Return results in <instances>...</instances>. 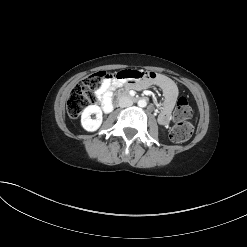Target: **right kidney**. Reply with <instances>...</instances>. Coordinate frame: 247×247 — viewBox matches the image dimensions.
Returning <instances> with one entry per match:
<instances>
[{
	"instance_id": "ca27d5eb",
	"label": "right kidney",
	"mask_w": 247,
	"mask_h": 247,
	"mask_svg": "<svg viewBox=\"0 0 247 247\" xmlns=\"http://www.w3.org/2000/svg\"><path fill=\"white\" fill-rule=\"evenodd\" d=\"M91 114H96V119H92ZM102 120V110L97 105L87 106L81 115V125L89 132L96 131L101 126Z\"/></svg>"
}]
</instances>
